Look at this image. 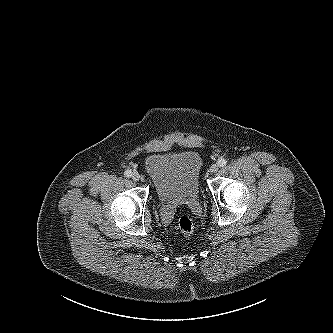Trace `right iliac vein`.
Returning a JSON list of instances; mask_svg holds the SVG:
<instances>
[{
	"label": "right iliac vein",
	"mask_w": 333,
	"mask_h": 333,
	"mask_svg": "<svg viewBox=\"0 0 333 333\" xmlns=\"http://www.w3.org/2000/svg\"><path fill=\"white\" fill-rule=\"evenodd\" d=\"M132 179H133L134 181H139V179H140V174H139L138 172H133V174H132Z\"/></svg>",
	"instance_id": "1"
}]
</instances>
